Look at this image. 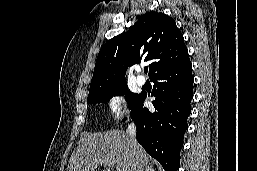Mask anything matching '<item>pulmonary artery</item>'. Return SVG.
Wrapping results in <instances>:
<instances>
[{"instance_id":"obj_1","label":"pulmonary artery","mask_w":257,"mask_h":171,"mask_svg":"<svg viewBox=\"0 0 257 171\" xmlns=\"http://www.w3.org/2000/svg\"><path fill=\"white\" fill-rule=\"evenodd\" d=\"M146 80L145 78L142 76V75H138L136 77V83L139 85V86H143L145 84Z\"/></svg>"}]
</instances>
